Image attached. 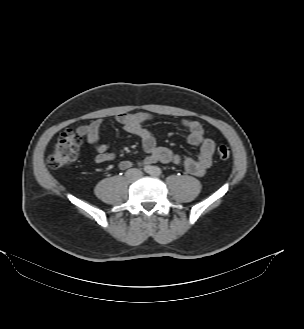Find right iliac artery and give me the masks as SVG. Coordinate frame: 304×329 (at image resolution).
<instances>
[{"label":"right iliac artery","mask_w":304,"mask_h":329,"mask_svg":"<svg viewBox=\"0 0 304 329\" xmlns=\"http://www.w3.org/2000/svg\"><path fill=\"white\" fill-rule=\"evenodd\" d=\"M144 171H145L146 173H152L153 168H152L151 166H145V167H144Z\"/></svg>","instance_id":"1"}]
</instances>
